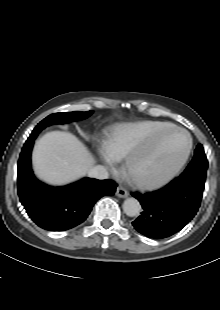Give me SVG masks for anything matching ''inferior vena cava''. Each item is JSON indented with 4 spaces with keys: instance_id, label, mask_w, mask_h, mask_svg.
Returning a JSON list of instances; mask_svg holds the SVG:
<instances>
[{
    "instance_id": "602c4592",
    "label": "inferior vena cava",
    "mask_w": 220,
    "mask_h": 310,
    "mask_svg": "<svg viewBox=\"0 0 220 310\" xmlns=\"http://www.w3.org/2000/svg\"><path fill=\"white\" fill-rule=\"evenodd\" d=\"M88 176L96 179H108L109 174L104 166L96 165L88 171Z\"/></svg>"
}]
</instances>
